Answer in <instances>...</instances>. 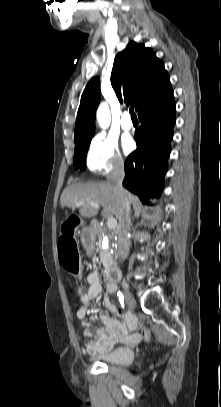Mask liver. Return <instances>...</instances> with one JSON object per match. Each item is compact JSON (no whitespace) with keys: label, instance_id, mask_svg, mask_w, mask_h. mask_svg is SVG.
<instances>
[{"label":"liver","instance_id":"obj_1","mask_svg":"<svg viewBox=\"0 0 221 407\" xmlns=\"http://www.w3.org/2000/svg\"><path fill=\"white\" fill-rule=\"evenodd\" d=\"M127 197L129 194L127 192ZM96 202L103 207V217L115 216L119 219L120 205L116 199L112 185L108 182L79 183L67 187L61 194L60 204L62 207L76 208L77 202H83L79 209V217L91 218L97 215L98 209L88 202Z\"/></svg>","mask_w":221,"mask_h":407}]
</instances>
